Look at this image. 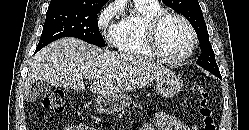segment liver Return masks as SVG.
Masks as SVG:
<instances>
[{"instance_id": "liver-1", "label": "liver", "mask_w": 249, "mask_h": 130, "mask_svg": "<svg viewBox=\"0 0 249 130\" xmlns=\"http://www.w3.org/2000/svg\"><path fill=\"white\" fill-rule=\"evenodd\" d=\"M172 73L149 58L101 49L76 38H62L40 50L29 65L25 95L37 81L83 91V79L93 81L90 91L110 96L134 91Z\"/></svg>"}]
</instances>
